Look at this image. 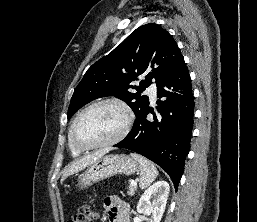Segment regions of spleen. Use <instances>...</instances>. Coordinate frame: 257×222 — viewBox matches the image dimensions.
<instances>
[{"mask_svg":"<svg viewBox=\"0 0 257 222\" xmlns=\"http://www.w3.org/2000/svg\"><path fill=\"white\" fill-rule=\"evenodd\" d=\"M131 156L138 161L141 170L140 187L142 189L148 187L158 175V170L155 165L148 159L136 153H131Z\"/></svg>","mask_w":257,"mask_h":222,"instance_id":"3e777b00","label":"spleen"}]
</instances>
